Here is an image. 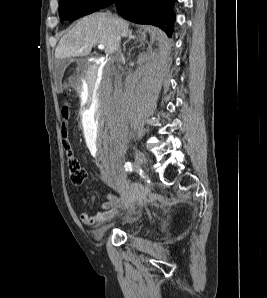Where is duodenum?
Instances as JSON below:
<instances>
[{"instance_id": "1", "label": "duodenum", "mask_w": 267, "mask_h": 298, "mask_svg": "<svg viewBox=\"0 0 267 298\" xmlns=\"http://www.w3.org/2000/svg\"><path fill=\"white\" fill-rule=\"evenodd\" d=\"M83 89L85 92H92L94 87H101V82L96 80V67H87V75H83ZM85 112L92 109L91 101H84Z\"/></svg>"}]
</instances>
